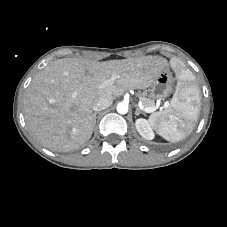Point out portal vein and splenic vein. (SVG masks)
I'll return each instance as SVG.
<instances>
[{
	"mask_svg": "<svg viewBox=\"0 0 227 227\" xmlns=\"http://www.w3.org/2000/svg\"><path fill=\"white\" fill-rule=\"evenodd\" d=\"M113 83H114V77H112V78H110L109 80H107V81L103 84V86L111 85V84H113ZM164 107L167 108V107H168V104L166 103V104L164 105ZM157 109H158V107H157V106H154V107H151V108H143V111H145V112H147V113H152V112L156 111Z\"/></svg>",
	"mask_w": 227,
	"mask_h": 227,
	"instance_id": "portal-vein-and-splenic-vein-1",
	"label": "portal vein and splenic vein"
}]
</instances>
